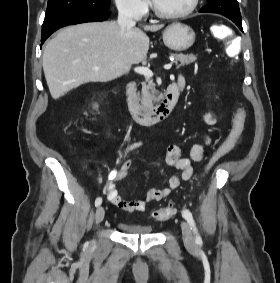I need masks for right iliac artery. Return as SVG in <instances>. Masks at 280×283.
<instances>
[{"mask_svg":"<svg viewBox=\"0 0 280 283\" xmlns=\"http://www.w3.org/2000/svg\"><path fill=\"white\" fill-rule=\"evenodd\" d=\"M136 146H138V144H134L133 146H131V149L135 148ZM102 203V198L101 197H98L96 200H95V206L98 207L100 206Z\"/></svg>","mask_w":280,"mask_h":283,"instance_id":"1","label":"right iliac artery"}]
</instances>
